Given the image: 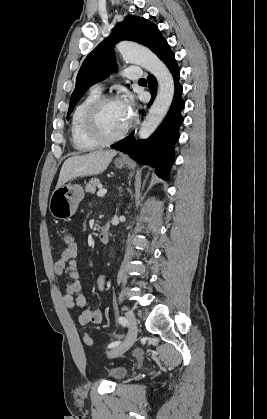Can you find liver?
Returning <instances> with one entry per match:
<instances>
[{"label":"liver","mask_w":267,"mask_h":419,"mask_svg":"<svg viewBox=\"0 0 267 419\" xmlns=\"http://www.w3.org/2000/svg\"><path fill=\"white\" fill-rule=\"evenodd\" d=\"M116 154L115 150H98L68 158L62 165L56 188L73 178L103 172Z\"/></svg>","instance_id":"liver-1"}]
</instances>
